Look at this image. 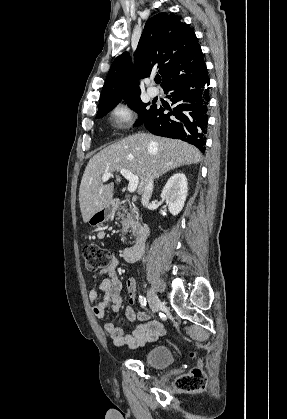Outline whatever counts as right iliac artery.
I'll return each mask as SVG.
<instances>
[{
    "instance_id": "82829eb1",
    "label": "right iliac artery",
    "mask_w": 287,
    "mask_h": 419,
    "mask_svg": "<svg viewBox=\"0 0 287 419\" xmlns=\"http://www.w3.org/2000/svg\"><path fill=\"white\" fill-rule=\"evenodd\" d=\"M139 302L141 304V306L145 307L146 306V298L142 295L139 296Z\"/></svg>"
}]
</instances>
